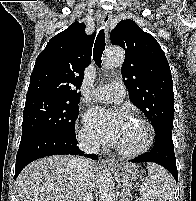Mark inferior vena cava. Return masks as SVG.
<instances>
[{
	"mask_svg": "<svg viewBox=\"0 0 196 201\" xmlns=\"http://www.w3.org/2000/svg\"><path fill=\"white\" fill-rule=\"evenodd\" d=\"M79 148L85 154H96L99 152V144L88 138L79 139ZM73 163L75 165V178L77 181L75 186L76 201H93L87 173L91 161L85 157H78L73 160Z\"/></svg>",
	"mask_w": 196,
	"mask_h": 201,
	"instance_id": "inferior-vena-cava-1",
	"label": "inferior vena cava"
}]
</instances>
